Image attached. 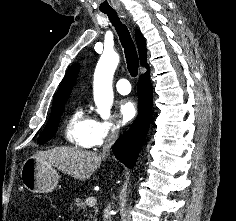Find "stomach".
Returning a JSON list of instances; mask_svg holds the SVG:
<instances>
[{
  "instance_id": "1",
  "label": "stomach",
  "mask_w": 236,
  "mask_h": 221,
  "mask_svg": "<svg viewBox=\"0 0 236 221\" xmlns=\"http://www.w3.org/2000/svg\"><path fill=\"white\" fill-rule=\"evenodd\" d=\"M22 183L30 192H52L59 179L56 169L34 156L26 159L21 168Z\"/></svg>"
}]
</instances>
